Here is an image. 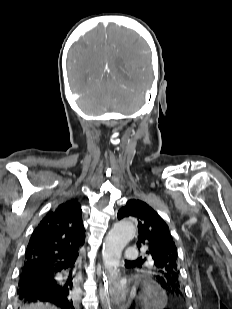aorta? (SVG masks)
I'll use <instances>...</instances> for the list:
<instances>
[{"instance_id":"obj_1","label":"aorta","mask_w":232,"mask_h":309,"mask_svg":"<svg viewBox=\"0 0 232 309\" xmlns=\"http://www.w3.org/2000/svg\"><path fill=\"white\" fill-rule=\"evenodd\" d=\"M136 232L131 220L116 223L109 231L103 244V263L106 270L117 276L122 251Z\"/></svg>"}]
</instances>
